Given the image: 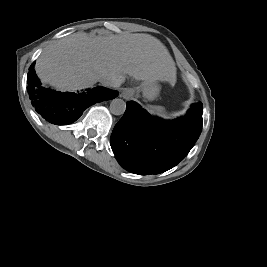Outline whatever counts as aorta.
<instances>
[{"instance_id": "762f6f07", "label": "aorta", "mask_w": 267, "mask_h": 267, "mask_svg": "<svg viewBox=\"0 0 267 267\" xmlns=\"http://www.w3.org/2000/svg\"><path fill=\"white\" fill-rule=\"evenodd\" d=\"M126 110V103L124 100L119 99V98H115L111 101L110 103V112L113 115H122L124 114Z\"/></svg>"}]
</instances>
